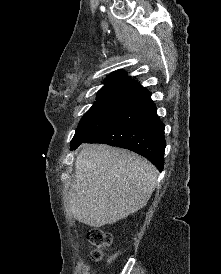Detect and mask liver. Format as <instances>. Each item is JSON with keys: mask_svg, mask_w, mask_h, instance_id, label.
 I'll use <instances>...</instances> for the list:
<instances>
[{"mask_svg": "<svg viewBox=\"0 0 221 274\" xmlns=\"http://www.w3.org/2000/svg\"><path fill=\"white\" fill-rule=\"evenodd\" d=\"M157 176L156 167L133 152L86 144L76 158L74 181L64 204L85 225L113 224L147 204Z\"/></svg>", "mask_w": 221, "mask_h": 274, "instance_id": "liver-1", "label": "liver"}]
</instances>
